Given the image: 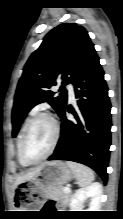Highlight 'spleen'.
Returning <instances> with one entry per match:
<instances>
[{
  "instance_id": "spleen-1",
  "label": "spleen",
  "mask_w": 123,
  "mask_h": 219,
  "mask_svg": "<svg viewBox=\"0 0 123 219\" xmlns=\"http://www.w3.org/2000/svg\"><path fill=\"white\" fill-rule=\"evenodd\" d=\"M67 165L73 171L79 186H87L94 181V173L87 166L70 161L67 162Z\"/></svg>"
}]
</instances>
